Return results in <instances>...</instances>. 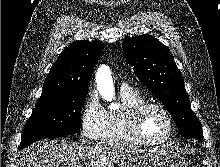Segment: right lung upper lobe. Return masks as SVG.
<instances>
[{
  "mask_svg": "<svg viewBox=\"0 0 220 167\" xmlns=\"http://www.w3.org/2000/svg\"><path fill=\"white\" fill-rule=\"evenodd\" d=\"M104 49L99 41H75L59 55L48 73L39 99L68 90L89 89L95 64Z\"/></svg>",
  "mask_w": 220,
  "mask_h": 167,
  "instance_id": "obj_1",
  "label": "right lung upper lobe"
}]
</instances>
